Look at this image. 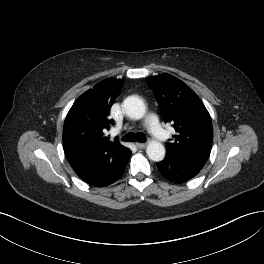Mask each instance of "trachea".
Segmentation results:
<instances>
[{
  "label": "trachea",
  "instance_id": "3493384b",
  "mask_svg": "<svg viewBox=\"0 0 264 264\" xmlns=\"http://www.w3.org/2000/svg\"><path fill=\"white\" fill-rule=\"evenodd\" d=\"M122 139L128 142H144L146 140V136L143 133H127Z\"/></svg>",
  "mask_w": 264,
  "mask_h": 264
}]
</instances>
